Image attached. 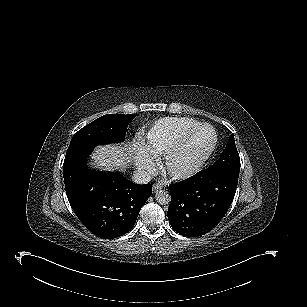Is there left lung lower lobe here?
I'll return each instance as SVG.
<instances>
[{
	"label": "left lung lower lobe",
	"mask_w": 307,
	"mask_h": 307,
	"mask_svg": "<svg viewBox=\"0 0 307 307\" xmlns=\"http://www.w3.org/2000/svg\"><path fill=\"white\" fill-rule=\"evenodd\" d=\"M238 176L202 170L169 186L167 212L172 228L184 236H201L211 231L228 211L237 188Z\"/></svg>",
	"instance_id": "obj_1"
}]
</instances>
